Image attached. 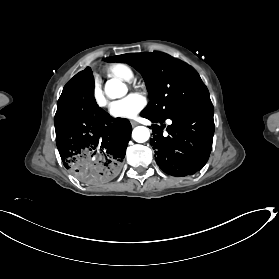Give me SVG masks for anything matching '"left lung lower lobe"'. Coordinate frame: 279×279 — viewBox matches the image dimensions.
<instances>
[{
	"instance_id": "obj_1",
	"label": "left lung lower lobe",
	"mask_w": 279,
	"mask_h": 279,
	"mask_svg": "<svg viewBox=\"0 0 279 279\" xmlns=\"http://www.w3.org/2000/svg\"><path fill=\"white\" fill-rule=\"evenodd\" d=\"M213 105L205 101L185 111L172 114L167 118L172 124L152 125L155 134L150 144L155 150L158 166L172 176H187L199 171L207 162L213 141L214 121ZM141 116L152 123H163V120L147 113Z\"/></svg>"
}]
</instances>
